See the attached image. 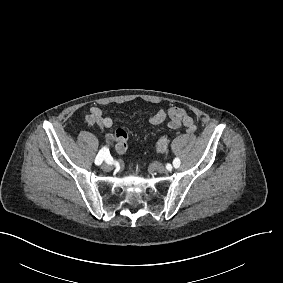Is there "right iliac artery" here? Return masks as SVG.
Here are the masks:
<instances>
[{"label":"right iliac artery","mask_w":283,"mask_h":283,"mask_svg":"<svg viewBox=\"0 0 283 283\" xmlns=\"http://www.w3.org/2000/svg\"><path fill=\"white\" fill-rule=\"evenodd\" d=\"M108 156H110L109 149L106 148V147L102 148V149L99 151L98 155L96 156L95 164H96V165H101V163L103 162V160H104L105 158H107Z\"/></svg>","instance_id":"obj_1"}]
</instances>
